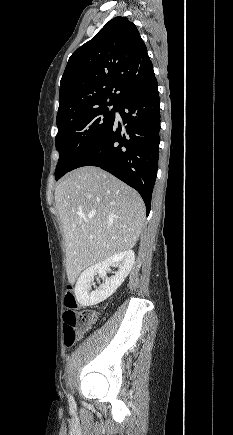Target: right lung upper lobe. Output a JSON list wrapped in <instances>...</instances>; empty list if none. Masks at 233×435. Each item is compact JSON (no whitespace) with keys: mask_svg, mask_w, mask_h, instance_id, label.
I'll return each instance as SVG.
<instances>
[{"mask_svg":"<svg viewBox=\"0 0 233 435\" xmlns=\"http://www.w3.org/2000/svg\"><path fill=\"white\" fill-rule=\"evenodd\" d=\"M153 73L136 26L126 17L113 18L69 58L56 122L102 105L118 106Z\"/></svg>","mask_w":233,"mask_h":435,"instance_id":"cb5924a9","label":"right lung upper lobe"}]
</instances>
